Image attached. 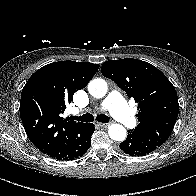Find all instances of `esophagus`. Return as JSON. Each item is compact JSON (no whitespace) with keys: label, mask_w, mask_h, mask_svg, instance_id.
Listing matches in <instances>:
<instances>
[{"label":"esophagus","mask_w":196,"mask_h":196,"mask_svg":"<svg viewBox=\"0 0 196 196\" xmlns=\"http://www.w3.org/2000/svg\"><path fill=\"white\" fill-rule=\"evenodd\" d=\"M98 125L101 127H108L110 126V123H98Z\"/></svg>","instance_id":"34e87169"}]
</instances>
